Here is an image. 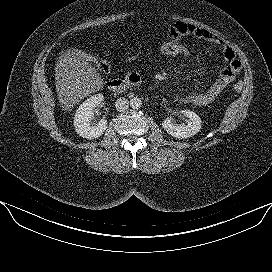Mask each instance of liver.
Wrapping results in <instances>:
<instances>
[{"mask_svg":"<svg viewBox=\"0 0 272 272\" xmlns=\"http://www.w3.org/2000/svg\"><path fill=\"white\" fill-rule=\"evenodd\" d=\"M57 98L64 111L76 104L103 85L101 75L75 54L65 53L59 57L55 67Z\"/></svg>","mask_w":272,"mask_h":272,"instance_id":"liver-1","label":"liver"}]
</instances>
